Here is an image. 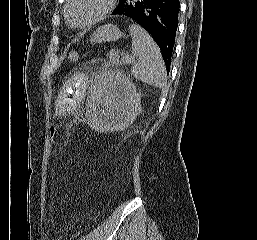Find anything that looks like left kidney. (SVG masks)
Instances as JSON below:
<instances>
[{"label": "left kidney", "instance_id": "5707ae66", "mask_svg": "<svg viewBox=\"0 0 257 240\" xmlns=\"http://www.w3.org/2000/svg\"><path fill=\"white\" fill-rule=\"evenodd\" d=\"M140 100L136 87L122 72L102 73L91 87L89 125L98 132L122 131L140 114Z\"/></svg>", "mask_w": 257, "mask_h": 240}]
</instances>
